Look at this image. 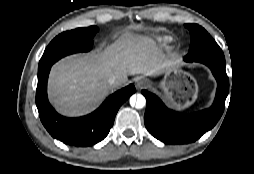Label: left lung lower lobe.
Masks as SVG:
<instances>
[{
	"mask_svg": "<svg viewBox=\"0 0 254 174\" xmlns=\"http://www.w3.org/2000/svg\"><path fill=\"white\" fill-rule=\"evenodd\" d=\"M195 62L207 65L218 83L216 97L210 108L194 114H182L168 109L156 95L142 90L147 100L145 126L155 138L165 144H187L196 141L215 126L224 111L225 99L229 92L225 63L216 60Z\"/></svg>",
	"mask_w": 254,
	"mask_h": 174,
	"instance_id": "1",
	"label": "left lung lower lobe"
}]
</instances>
